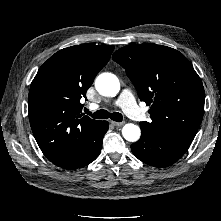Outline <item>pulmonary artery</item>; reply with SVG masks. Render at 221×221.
<instances>
[{"instance_id":"1","label":"pulmonary artery","mask_w":221,"mask_h":221,"mask_svg":"<svg viewBox=\"0 0 221 221\" xmlns=\"http://www.w3.org/2000/svg\"><path fill=\"white\" fill-rule=\"evenodd\" d=\"M118 103L123 107L125 112L132 118L136 120H141L144 114L141 112L140 108L137 106L133 94L130 90H124L119 98ZM97 107V106H94Z\"/></svg>"}]
</instances>
